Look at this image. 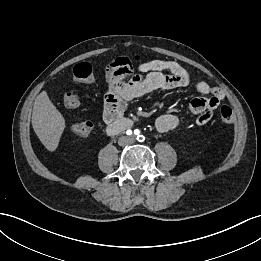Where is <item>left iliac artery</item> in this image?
I'll list each match as a JSON object with an SVG mask.
<instances>
[{
  "label": "left iliac artery",
  "mask_w": 261,
  "mask_h": 261,
  "mask_svg": "<svg viewBox=\"0 0 261 261\" xmlns=\"http://www.w3.org/2000/svg\"><path fill=\"white\" fill-rule=\"evenodd\" d=\"M135 134L138 135L139 134V130H135ZM144 139H145L144 136H142V135L138 136V140L139 141H144Z\"/></svg>",
  "instance_id": "1"
}]
</instances>
